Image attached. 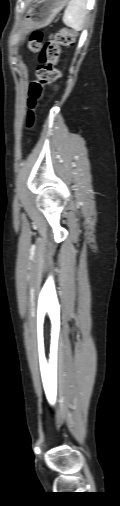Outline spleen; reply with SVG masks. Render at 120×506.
<instances>
[{"label":"spleen","instance_id":"3e777b00","mask_svg":"<svg viewBox=\"0 0 120 506\" xmlns=\"http://www.w3.org/2000/svg\"><path fill=\"white\" fill-rule=\"evenodd\" d=\"M86 13V0H70L64 11L63 23L76 31H81Z\"/></svg>","mask_w":120,"mask_h":506}]
</instances>
